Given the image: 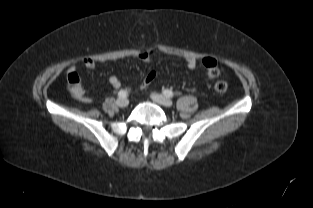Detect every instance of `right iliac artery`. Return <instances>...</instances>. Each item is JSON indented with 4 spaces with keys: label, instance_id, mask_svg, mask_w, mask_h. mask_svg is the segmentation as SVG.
Segmentation results:
<instances>
[{
    "label": "right iliac artery",
    "instance_id": "right-iliac-artery-1",
    "mask_svg": "<svg viewBox=\"0 0 313 208\" xmlns=\"http://www.w3.org/2000/svg\"><path fill=\"white\" fill-rule=\"evenodd\" d=\"M118 96H119L120 98L126 97V96H127V92H126L125 90H120V91L118 92Z\"/></svg>",
    "mask_w": 313,
    "mask_h": 208
}]
</instances>
